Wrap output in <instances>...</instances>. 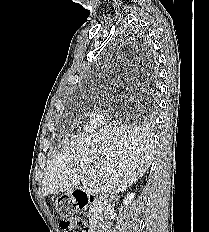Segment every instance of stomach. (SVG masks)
Returning a JSON list of instances; mask_svg holds the SVG:
<instances>
[{"mask_svg": "<svg viewBox=\"0 0 209 232\" xmlns=\"http://www.w3.org/2000/svg\"><path fill=\"white\" fill-rule=\"evenodd\" d=\"M75 203H77V198H73L72 194H59L56 201V211L60 214V218H67V221H76L77 209Z\"/></svg>", "mask_w": 209, "mask_h": 232, "instance_id": "obj_1", "label": "stomach"}]
</instances>
